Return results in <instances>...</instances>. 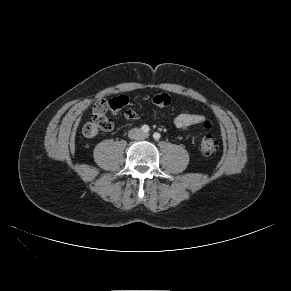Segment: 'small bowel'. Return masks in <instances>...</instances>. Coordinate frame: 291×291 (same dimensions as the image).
<instances>
[{
    "label": "small bowel",
    "mask_w": 291,
    "mask_h": 291,
    "mask_svg": "<svg viewBox=\"0 0 291 291\" xmlns=\"http://www.w3.org/2000/svg\"><path fill=\"white\" fill-rule=\"evenodd\" d=\"M109 101L104 99L98 100L94 105L93 115L96 113H106L109 110L112 111L109 105ZM124 115L129 120L138 119V114L131 108L127 109ZM204 120L205 117L201 114L181 113L174 118L173 123L177 128L187 130L195 125L201 124Z\"/></svg>",
    "instance_id": "1"
}]
</instances>
